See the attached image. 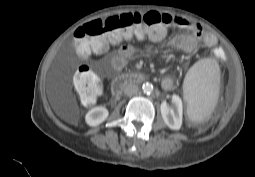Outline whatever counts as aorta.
I'll use <instances>...</instances> for the list:
<instances>
[{
    "mask_svg": "<svg viewBox=\"0 0 255 177\" xmlns=\"http://www.w3.org/2000/svg\"><path fill=\"white\" fill-rule=\"evenodd\" d=\"M142 90L145 94H151L153 91V85L151 83H144L142 86Z\"/></svg>",
    "mask_w": 255,
    "mask_h": 177,
    "instance_id": "aorta-1",
    "label": "aorta"
}]
</instances>
